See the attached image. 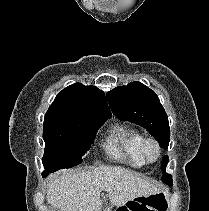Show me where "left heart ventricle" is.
Listing matches in <instances>:
<instances>
[{"label": "left heart ventricle", "mask_w": 209, "mask_h": 211, "mask_svg": "<svg viewBox=\"0 0 209 211\" xmlns=\"http://www.w3.org/2000/svg\"><path fill=\"white\" fill-rule=\"evenodd\" d=\"M150 154L152 155V156H154V150L153 149H150Z\"/></svg>", "instance_id": "1"}]
</instances>
